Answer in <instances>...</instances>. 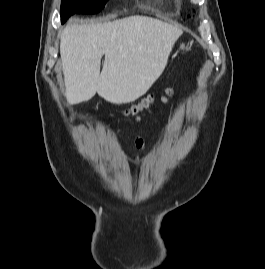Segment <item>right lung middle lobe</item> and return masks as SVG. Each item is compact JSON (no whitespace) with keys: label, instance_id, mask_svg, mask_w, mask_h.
Returning <instances> with one entry per match:
<instances>
[{"label":"right lung middle lobe","instance_id":"obj_1","mask_svg":"<svg viewBox=\"0 0 265 269\" xmlns=\"http://www.w3.org/2000/svg\"><path fill=\"white\" fill-rule=\"evenodd\" d=\"M108 0H62L61 20L64 23L74 13L94 14L104 8Z\"/></svg>","mask_w":265,"mask_h":269}]
</instances>
